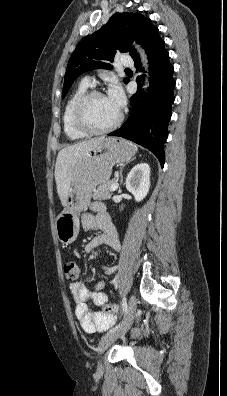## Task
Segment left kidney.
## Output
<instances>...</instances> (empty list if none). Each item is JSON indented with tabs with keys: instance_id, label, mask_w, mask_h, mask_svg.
<instances>
[{
	"instance_id": "left-kidney-1",
	"label": "left kidney",
	"mask_w": 227,
	"mask_h": 396,
	"mask_svg": "<svg viewBox=\"0 0 227 396\" xmlns=\"http://www.w3.org/2000/svg\"><path fill=\"white\" fill-rule=\"evenodd\" d=\"M126 188L137 202L142 201L150 188V167L147 163L135 165L126 178Z\"/></svg>"
}]
</instances>
